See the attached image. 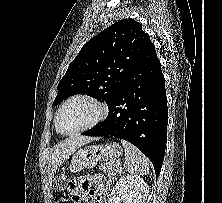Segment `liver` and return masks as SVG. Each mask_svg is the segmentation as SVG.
<instances>
[{
    "label": "liver",
    "instance_id": "1",
    "mask_svg": "<svg viewBox=\"0 0 222 203\" xmlns=\"http://www.w3.org/2000/svg\"><path fill=\"white\" fill-rule=\"evenodd\" d=\"M94 138L88 136L70 137L53 147L49 156L48 176L52 180L57 168L64 163L71 154L81 146L93 141Z\"/></svg>",
    "mask_w": 222,
    "mask_h": 203
}]
</instances>
